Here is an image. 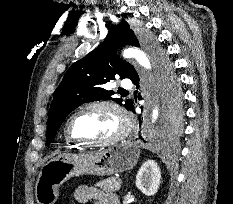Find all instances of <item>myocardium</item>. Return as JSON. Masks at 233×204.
I'll return each mask as SVG.
<instances>
[{"mask_svg": "<svg viewBox=\"0 0 233 204\" xmlns=\"http://www.w3.org/2000/svg\"><path fill=\"white\" fill-rule=\"evenodd\" d=\"M100 107L111 109L118 115L121 121L120 131L114 136H112L111 138L103 140V141L87 140V139H83V138L75 136L71 129V125L75 117L84 111H87L92 108H100ZM131 127H132V122H131L130 116L123 106H121L116 101L102 99V100H95V101L88 102L78 107L75 111H73L66 121L65 133L67 137L71 139L72 141H75L85 146L108 147L125 139L130 133Z\"/></svg>", "mask_w": 233, "mask_h": 204, "instance_id": "f54148a6", "label": "myocardium"}]
</instances>
